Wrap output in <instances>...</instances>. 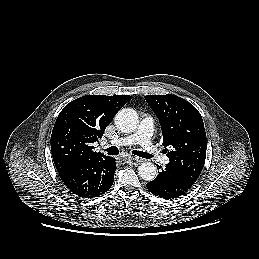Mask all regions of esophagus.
Listing matches in <instances>:
<instances>
[{
    "label": "esophagus",
    "mask_w": 259,
    "mask_h": 259,
    "mask_svg": "<svg viewBox=\"0 0 259 259\" xmlns=\"http://www.w3.org/2000/svg\"><path fill=\"white\" fill-rule=\"evenodd\" d=\"M127 163L132 164V165H138L141 163V160L137 157L130 156L127 159Z\"/></svg>",
    "instance_id": "34e87169"
}]
</instances>
